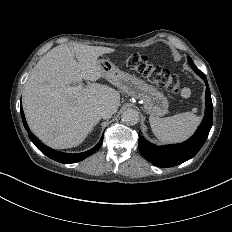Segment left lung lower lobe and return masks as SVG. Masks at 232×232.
Returning a JSON list of instances; mask_svg holds the SVG:
<instances>
[{
    "instance_id": "obj_1",
    "label": "left lung lower lobe",
    "mask_w": 232,
    "mask_h": 232,
    "mask_svg": "<svg viewBox=\"0 0 232 232\" xmlns=\"http://www.w3.org/2000/svg\"><path fill=\"white\" fill-rule=\"evenodd\" d=\"M199 76L206 84V108L205 116L192 137L183 143L156 146L139 135V151L153 165L166 168L182 164L193 158L204 145L213 124V104L206 76L204 73L199 74Z\"/></svg>"
}]
</instances>
